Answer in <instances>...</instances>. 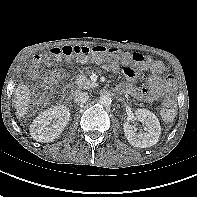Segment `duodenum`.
<instances>
[{"label":"duodenum","instance_id":"duodenum-1","mask_svg":"<svg viewBox=\"0 0 197 197\" xmlns=\"http://www.w3.org/2000/svg\"><path fill=\"white\" fill-rule=\"evenodd\" d=\"M117 91H118V92H122V93L124 92L123 89H122L121 87H118V88H117Z\"/></svg>","mask_w":197,"mask_h":197}]
</instances>
